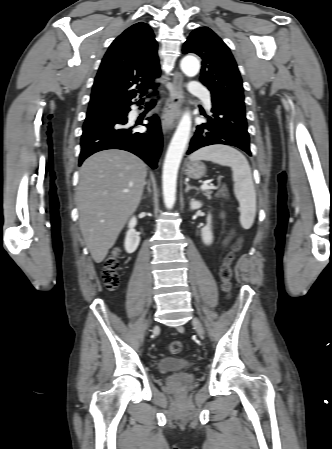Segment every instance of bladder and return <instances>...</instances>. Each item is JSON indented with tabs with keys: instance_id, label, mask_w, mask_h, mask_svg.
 <instances>
[{
	"instance_id": "bladder-1",
	"label": "bladder",
	"mask_w": 332,
	"mask_h": 449,
	"mask_svg": "<svg viewBox=\"0 0 332 449\" xmlns=\"http://www.w3.org/2000/svg\"><path fill=\"white\" fill-rule=\"evenodd\" d=\"M194 360L187 358L162 357L156 363V369L161 374L176 371L194 370Z\"/></svg>"
}]
</instances>
